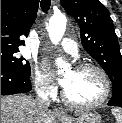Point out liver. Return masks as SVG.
<instances>
[{"mask_svg":"<svg viewBox=\"0 0 122 123\" xmlns=\"http://www.w3.org/2000/svg\"><path fill=\"white\" fill-rule=\"evenodd\" d=\"M80 111L75 112V116ZM53 117L46 110L38 113L35 99L28 95L1 96V123H52Z\"/></svg>","mask_w":122,"mask_h":123,"instance_id":"6515ba94","label":"liver"}]
</instances>
